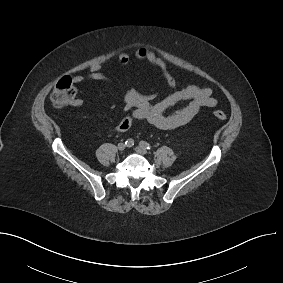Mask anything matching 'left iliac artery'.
<instances>
[{
  "mask_svg": "<svg viewBox=\"0 0 283 283\" xmlns=\"http://www.w3.org/2000/svg\"><path fill=\"white\" fill-rule=\"evenodd\" d=\"M139 144H140L141 147H143V148H145L147 150L152 149V146L149 143L145 142V141H140Z\"/></svg>",
  "mask_w": 283,
  "mask_h": 283,
  "instance_id": "44dca946",
  "label": "left iliac artery"
}]
</instances>
